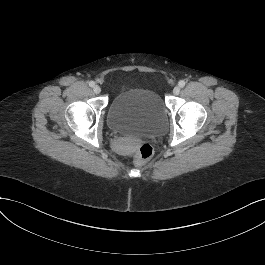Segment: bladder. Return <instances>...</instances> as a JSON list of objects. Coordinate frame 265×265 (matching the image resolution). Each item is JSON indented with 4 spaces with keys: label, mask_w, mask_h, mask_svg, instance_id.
I'll return each mask as SVG.
<instances>
[{
    "label": "bladder",
    "mask_w": 265,
    "mask_h": 265,
    "mask_svg": "<svg viewBox=\"0 0 265 265\" xmlns=\"http://www.w3.org/2000/svg\"><path fill=\"white\" fill-rule=\"evenodd\" d=\"M108 127L119 134L138 136L162 130L166 107L153 90H130L118 94L107 108Z\"/></svg>",
    "instance_id": "1"
}]
</instances>
